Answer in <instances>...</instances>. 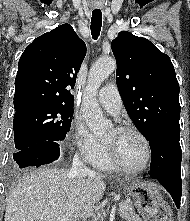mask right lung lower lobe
<instances>
[{"label": "right lung lower lobe", "mask_w": 190, "mask_h": 221, "mask_svg": "<svg viewBox=\"0 0 190 221\" xmlns=\"http://www.w3.org/2000/svg\"><path fill=\"white\" fill-rule=\"evenodd\" d=\"M59 155L58 141H44L18 151L13 158L20 168H26L51 163L57 160Z\"/></svg>", "instance_id": "1"}]
</instances>
